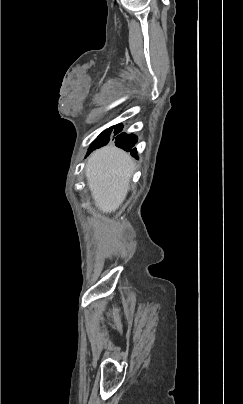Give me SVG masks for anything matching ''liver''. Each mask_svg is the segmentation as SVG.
I'll use <instances>...</instances> for the list:
<instances>
[{"label":"liver","instance_id":"1","mask_svg":"<svg viewBox=\"0 0 243 404\" xmlns=\"http://www.w3.org/2000/svg\"><path fill=\"white\" fill-rule=\"evenodd\" d=\"M135 166L130 154L109 144L91 154L85 168L88 188L104 214H111L123 204Z\"/></svg>","mask_w":243,"mask_h":404}]
</instances>
